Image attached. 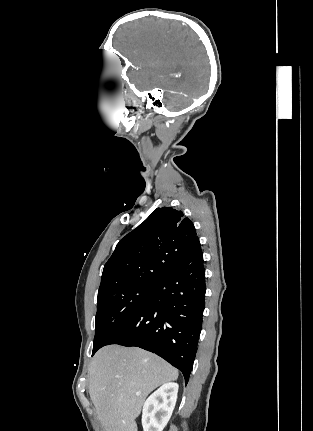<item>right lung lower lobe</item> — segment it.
Instances as JSON below:
<instances>
[{
  "instance_id": "obj_1",
  "label": "right lung lower lobe",
  "mask_w": 313,
  "mask_h": 431,
  "mask_svg": "<svg viewBox=\"0 0 313 431\" xmlns=\"http://www.w3.org/2000/svg\"><path fill=\"white\" fill-rule=\"evenodd\" d=\"M205 292L203 254L198 239L183 261L104 346H136L156 353L178 368L187 384L202 327Z\"/></svg>"
}]
</instances>
